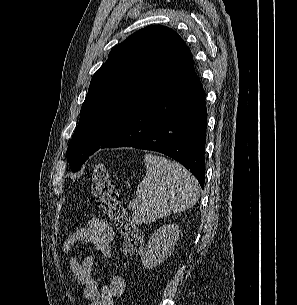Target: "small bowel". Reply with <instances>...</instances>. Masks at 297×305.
<instances>
[{
    "mask_svg": "<svg viewBox=\"0 0 297 305\" xmlns=\"http://www.w3.org/2000/svg\"><path fill=\"white\" fill-rule=\"evenodd\" d=\"M113 240L114 233L109 223L102 217H93L63 243L64 254L70 253L74 246L92 245L96 249L97 256L81 259L74 254L70 259L71 270L82 287L87 305H114L115 300L125 293L126 283L122 277L114 275L107 283H100L95 276L97 266L111 259Z\"/></svg>",
    "mask_w": 297,
    "mask_h": 305,
    "instance_id": "obj_1",
    "label": "small bowel"
}]
</instances>
